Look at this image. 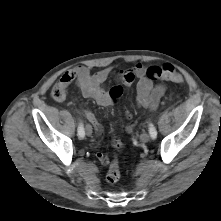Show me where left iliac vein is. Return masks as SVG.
Instances as JSON below:
<instances>
[{
	"label": "left iliac vein",
	"mask_w": 221,
	"mask_h": 221,
	"mask_svg": "<svg viewBox=\"0 0 221 221\" xmlns=\"http://www.w3.org/2000/svg\"><path fill=\"white\" fill-rule=\"evenodd\" d=\"M150 135L148 133H143L141 136H140V140L141 142L143 143H146L150 140Z\"/></svg>",
	"instance_id": "obj_1"
}]
</instances>
